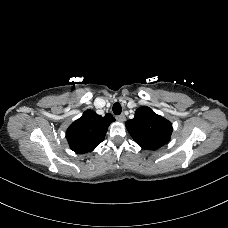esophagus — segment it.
<instances>
[{
    "instance_id": "1",
    "label": "esophagus",
    "mask_w": 228,
    "mask_h": 228,
    "mask_svg": "<svg viewBox=\"0 0 228 228\" xmlns=\"http://www.w3.org/2000/svg\"><path fill=\"white\" fill-rule=\"evenodd\" d=\"M116 119L120 122H123V121H125L126 118L123 114H121V115L116 116Z\"/></svg>"
}]
</instances>
